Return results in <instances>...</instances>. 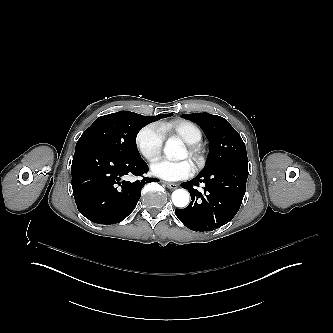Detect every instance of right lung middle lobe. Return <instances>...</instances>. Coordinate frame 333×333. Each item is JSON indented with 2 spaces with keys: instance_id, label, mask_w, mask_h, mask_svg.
Here are the masks:
<instances>
[{
  "instance_id": "dd1d6c3e",
  "label": "right lung middle lobe",
  "mask_w": 333,
  "mask_h": 333,
  "mask_svg": "<svg viewBox=\"0 0 333 333\" xmlns=\"http://www.w3.org/2000/svg\"><path fill=\"white\" fill-rule=\"evenodd\" d=\"M157 115L156 119L130 111H120L97 118L82 134L76 145L92 143L106 148L111 153L127 159H140L136 146L138 132L147 124L169 117Z\"/></svg>"
}]
</instances>
